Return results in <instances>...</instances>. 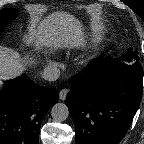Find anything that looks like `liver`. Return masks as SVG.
I'll use <instances>...</instances> for the list:
<instances>
[{
    "mask_svg": "<svg viewBox=\"0 0 144 144\" xmlns=\"http://www.w3.org/2000/svg\"><path fill=\"white\" fill-rule=\"evenodd\" d=\"M25 41L35 42L37 47L74 48L85 45L81 22L63 11L52 13L39 24L33 18ZM32 64L33 59H22L16 51L0 47V78H15L25 66Z\"/></svg>",
    "mask_w": 144,
    "mask_h": 144,
    "instance_id": "obj_1",
    "label": "liver"
}]
</instances>
